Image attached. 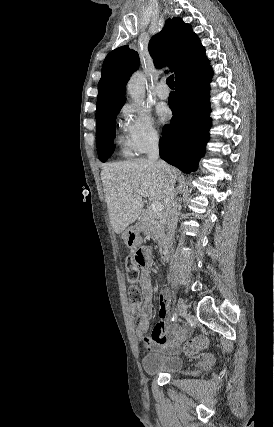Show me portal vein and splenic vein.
Returning a JSON list of instances; mask_svg holds the SVG:
<instances>
[{
	"label": "portal vein and splenic vein",
	"instance_id": "portal-vein-and-splenic-vein-1",
	"mask_svg": "<svg viewBox=\"0 0 274 427\" xmlns=\"http://www.w3.org/2000/svg\"><path fill=\"white\" fill-rule=\"evenodd\" d=\"M135 194H139V196H143V198H148V194L145 190H136ZM150 210L153 214H159V212H162L161 202H152Z\"/></svg>",
	"mask_w": 274,
	"mask_h": 427
}]
</instances>
